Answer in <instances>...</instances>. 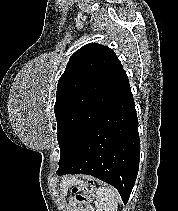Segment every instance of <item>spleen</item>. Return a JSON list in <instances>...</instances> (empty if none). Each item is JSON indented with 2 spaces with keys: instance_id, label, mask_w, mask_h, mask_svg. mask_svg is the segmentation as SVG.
Masks as SVG:
<instances>
[{
  "instance_id": "spleen-1",
  "label": "spleen",
  "mask_w": 178,
  "mask_h": 211,
  "mask_svg": "<svg viewBox=\"0 0 178 211\" xmlns=\"http://www.w3.org/2000/svg\"><path fill=\"white\" fill-rule=\"evenodd\" d=\"M120 195L112 187H100L96 191V211H117Z\"/></svg>"
}]
</instances>
